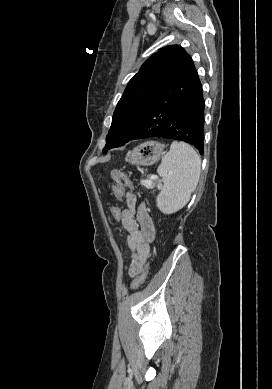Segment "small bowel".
<instances>
[{"label": "small bowel", "mask_w": 272, "mask_h": 389, "mask_svg": "<svg viewBox=\"0 0 272 389\" xmlns=\"http://www.w3.org/2000/svg\"><path fill=\"white\" fill-rule=\"evenodd\" d=\"M125 203L120 221L128 233L127 243L131 250V259L126 270L131 277H135L142 271L148 258L150 244L155 237V227L146 207L143 204L138 205L134 193H126Z\"/></svg>", "instance_id": "c3829d8e"}]
</instances>
